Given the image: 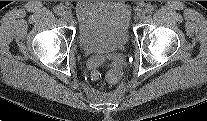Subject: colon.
<instances>
[{
  "mask_svg": "<svg viewBox=\"0 0 207 121\" xmlns=\"http://www.w3.org/2000/svg\"><path fill=\"white\" fill-rule=\"evenodd\" d=\"M120 76V66L118 64H113L106 74V78L109 82L115 83L118 81Z\"/></svg>",
  "mask_w": 207,
  "mask_h": 121,
  "instance_id": "5ec220e1",
  "label": "colon"
}]
</instances>
